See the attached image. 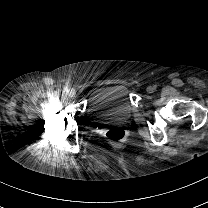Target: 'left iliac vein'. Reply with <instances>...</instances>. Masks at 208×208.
<instances>
[{"label":"left iliac vein","instance_id":"left-iliac-vein-1","mask_svg":"<svg viewBox=\"0 0 208 208\" xmlns=\"http://www.w3.org/2000/svg\"><path fill=\"white\" fill-rule=\"evenodd\" d=\"M154 90H155V89H154V87H152V86H148V87H147V92H148V93H153Z\"/></svg>","mask_w":208,"mask_h":208}]
</instances>
